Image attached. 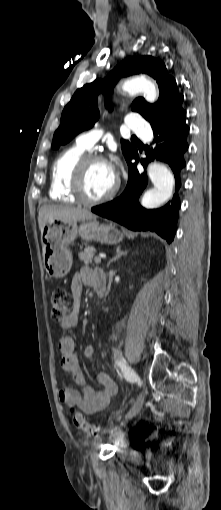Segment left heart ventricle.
<instances>
[{
    "label": "left heart ventricle",
    "mask_w": 221,
    "mask_h": 510,
    "mask_svg": "<svg viewBox=\"0 0 221 510\" xmlns=\"http://www.w3.org/2000/svg\"><path fill=\"white\" fill-rule=\"evenodd\" d=\"M117 176L108 162L89 164L84 182L85 192L89 198H99L112 190Z\"/></svg>",
    "instance_id": "1"
}]
</instances>
